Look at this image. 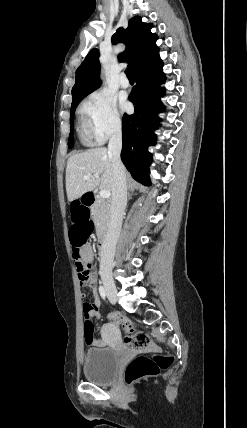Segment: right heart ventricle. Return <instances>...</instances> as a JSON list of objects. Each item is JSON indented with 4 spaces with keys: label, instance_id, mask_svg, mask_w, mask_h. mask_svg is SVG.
Masks as SVG:
<instances>
[{
    "label": "right heart ventricle",
    "instance_id": "e07e8e85",
    "mask_svg": "<svg viewBox=\"0 0 247 428\" xmlns=\"http://www.w3.org/2000/svg\"><path fill=\"white\" fill-rule=\"evenodd\" d=\"M77 131L82 144L87 146L92 145L94 136L92 133L91 124L86 111V107H83L79 112Z\"/></svg>",
    "mask_w": 247,
    "mask_h": 428
}]
</instances>
